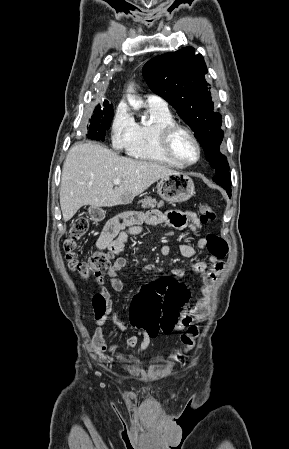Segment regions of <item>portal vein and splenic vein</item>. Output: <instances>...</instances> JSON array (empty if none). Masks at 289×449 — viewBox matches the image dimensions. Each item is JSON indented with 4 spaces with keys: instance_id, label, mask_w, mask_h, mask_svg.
<instances>
[{
    "instance_id": "portal-vein-and-splenic-vein-1",
    "label": "portal vein and splenic vein",
    "mask_w": 289,
    "mask_h": 449,
    "mask_svg": "<svg viewBox=\"0 0 289 449\" xmlns=\"http://www.w3.org/2000/svg\"><path fill=\"white\" fill-rule=\"evenodd\" d=\"M123 181L121 179H114L113 184L114 185H119L120 183H122Z\"/></svg>"
}]
</instances>
